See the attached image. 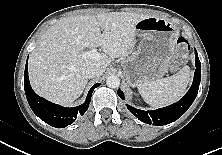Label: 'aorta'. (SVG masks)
Listing matches in <instances>:
<instances>
[{"mask_svg":"<svg viewBox=\"0 0 222 155\" xmlns=\"http://www.w3.org/2000/svg\"><path fill=\"white\" fill-rule=\"evenodd\" d=\"M106 84L110 88H118L120 86V79L116 75H110L106 79Z\"/></svg>","mask_w":222,"mask_h":155,"instance_id":"1","label":"aorta"}]
</instances>
